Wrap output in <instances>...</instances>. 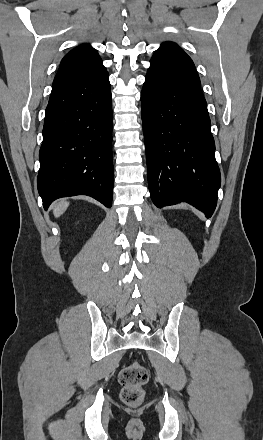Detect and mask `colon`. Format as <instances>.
Returning a JSON list of instances; mask_svg holds the SVG:
<instances>
[{
    "instance_id": "5ec220e1",
    "label": "colon",
    "mask_w": 263,
    "mask_h": 440,
    "mask_svg": "<svg viewBox=\"0 0 263 440\" xmlns=\"http://www.w3.org/2000/svg\"><path fill=\"white\" fill-rule=\"evenodd\" d=\"M147 368L139 362H131L123 367L119 373V382L122 385L120 398L131 407L139 406L145 397L144 385L148 382Z\"/></svg>"
}]
</instances>
